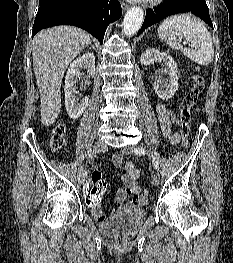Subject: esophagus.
I'll return each instance as SVG.
<instances>
[{
  "label": "esophagus",
  "mask_w": 233,
  "mask_h": 263,
  "mask_svg": "<svg viewBox=\"0 0 233 263\" xmlns=\"http://www.w3.org/2000/svg\"><path fill=\"white\" fill-rule=\"evenodd\" d=\"M122 9L125 11V10H128L129 9V6L126 4V3H122Z\"/></svg>",
  "instance_id": "obj_1"
}]
</instances>
